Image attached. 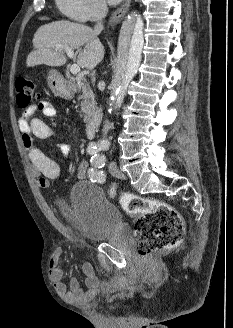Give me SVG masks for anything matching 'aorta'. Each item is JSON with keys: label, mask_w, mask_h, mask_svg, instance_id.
I'll return each mask as SVG.
<instances>
[{"label": "aorta", "mask_w": 233, "mask_h": 328, "mask_svg": "<svg viewBox=\"0 0 233 328\" xmlns=\"http://www.w3.org/2000/svg\"><path fill=\"white\" fill-rule=\"evenodd\" d=\"M144 45L143 21L135 12L123 21L117 47L115 72L110 85L109 111L121 107L128 84L138 71ZM109 146V142H103Z\"/></svg>", "instance_id": "aorta-1"}]
</instances>
